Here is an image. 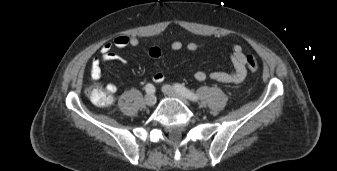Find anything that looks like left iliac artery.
Segmentation results:
<instances>
[{
	"label": "left iliac artery",
	"instance_id": "44dca946",
	"mask_svg": "<svg viewBox=\"0 0 337 171\" xmlns=\"http://www.w3.org/2000/svg\"><path fill=\"white\" fill-rule=\"evenodd\" d=\"M174 88L177 92H179L180 94H182L184 97L188 98L189 100L192 101H198V97L196 96V94H194L192 91H190L189 89H187L186 87L180 85V84H174Z\"/></svg>",
	"mask_w": 337,
	"mask_h": 171
}]
</instances>
